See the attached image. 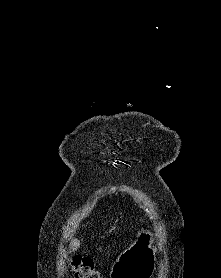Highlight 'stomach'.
I'll return each instance as SVG.
<instances>
[{
	"mask_svg": "<svg viewBox=\"0 0 221 278\" xmlns=\"http://www.w3.org/2000/svg\"><path fill=\"white\" fill-rule=\"evenodd\" d=\"M152 238L149 230L139 231L132 246L110 264V269H114L112 278H149L153 275L154 264L151 262H154L155 252Z\"/></svg>",
	"mask_w": 221,
	"mask_h": 278,
	"instance_id": "1",
	"label": "stomach"
}]
</instances>
